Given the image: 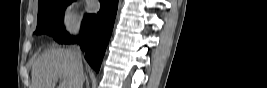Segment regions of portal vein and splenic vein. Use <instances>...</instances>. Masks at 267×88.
I'll return each instance as SVG.
<instances>
[{
  "instance_id": "1",
  "label": "portal vein and splenic vein",
  "mask_w": 267,
  "mask_h": 88,
  "mask_svg": "<svg viewBox=\"0 0 267 88\" xmlns=\"http://www.w3.org/2000/svg\"><path fill=\"white\" fill-rule=\"evenodd\" d=\"M60 78H61V79H65L64 76H60ZM62 87H63V88H66L65 84H64V86H62Z\"/></svg>"
}]
</instances>
